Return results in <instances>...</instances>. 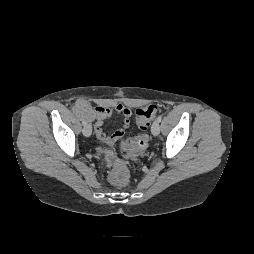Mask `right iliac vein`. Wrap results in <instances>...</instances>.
Instances as JSON below:
<instances>
[{
    "instance_id": "obj_1",
    "label": "right iliac vein",
    "mask_w": 254,
    "mask_h": 254,
    "mask_svg": "<svg viewBox=\"0 0 254 254\" xmlns=\"http://www.w3.org/2000/svg\"><path fill=\"white\" fill-rule=\"evenodd\" d=\"M82 132H83L84 136L89 137L91 135V133H92V127H91V125H89V124L85 125L83 130H82Z\"/></svg>"
}]
</instances>
